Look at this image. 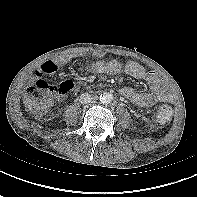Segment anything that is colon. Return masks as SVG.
<instances>
[{
    "mask_svg": "<svg viewBox=\"0 0 197 197\" xmlns=\"http://www.w3.org/2000/svg\"><path fill=\"white\" fill-rule=\"evenodd\" d=\"M73 88V83L69 80L53 85L44 79H38L27 93L24 103L27 109L35 114H43L49 104V93H56L59 95L68 94ZM156 118L160 123H168L172 118V109L168 105H162L157 109Z\"/></svg>",
    "mask_w": 197,
    "mask_h": 197,
    "instance_id": "5ec220e1",
    "label": "colon"
}]
</instances>
